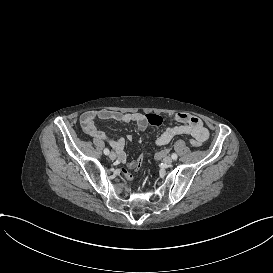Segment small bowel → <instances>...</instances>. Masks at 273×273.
I'll return each instance as SVG.
<instances>
[{
	"label": "small bowel",
	"mask_w": 273,
	"mask_h": 273,
	"mask_svg": "<svg viewBox=\"0 0 273 273\" xmlns=\"http://www.w3.org/2000/svg\"><path fill=\"white\" fill-rule=\"evenodd\" d=\"M97 120L113 121L120 124H134L139 130L144 131L148 127L145 115L140 112L128 113L115 110H100L86 112L80 118L82 129L86 134L98 141L107 142L116 150L120 162L126 163L131 169H135V161H129L124 151L126 140L124 138H109L104 131L97 127ZM173 121L177 125L167 127L161 132L155 141L157 146H165L179 136L189 137L193 146H200L209 138L208 129L205 127L203 121L196 116L188 113H177L174 115ZM127 140H132V136H127ZM170 154V151L165 149L159 153H154L152 157L157 161L169 157ZM121 172L126 176L127 181L133 180V175L129 174L125 168H122Z\"/></svg>",
	"instance_id": "obj_1"
}]
</instances>
